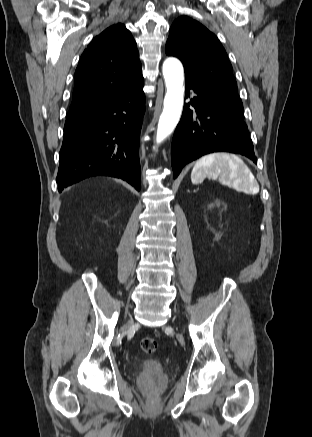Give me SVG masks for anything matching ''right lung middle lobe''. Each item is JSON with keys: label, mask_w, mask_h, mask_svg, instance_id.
Wrapping results in <instances>:
<instances>
[{"label": "right lung middle lobe", "mask_w": 312, "mask_h": 437, "mask_svg": "<svg viewBox=\"0 0 312 437\" xmlns=\"http://www.w3.org/2000/svg\"><path fill=\"white\" fill-rule=\"evenodd\" d=\"M75 114H67V116H66V118H68V117H71V116H74Z\"/></svg>", "instance_id": "right-lung-middle-lobe-1"}]
</instances>
